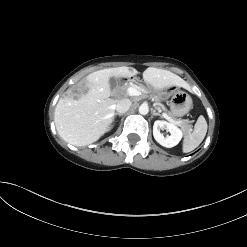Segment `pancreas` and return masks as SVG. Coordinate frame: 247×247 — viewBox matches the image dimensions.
<instances>
[{
	"label": "pancreas",
	"mask_w": 247,
	"mask_h": 247,
	"mask_svg": "<svg viewBox=\"0 0 247 247\" xmlns=\"http://www.w3.org/2000/svg\"><path fill=\"white\" fill-rule=\"evenodd\" d=\"M138 88L140 90H145V88L142 85L141 86L138 85ZM154 99L157 102V105L158 106L156 108L158 110L167 111V109L165 108L164 105L158 103L159 102V97H154ZM174 121L176 122L175 124H177L178 126H180L185 133H189V130H190L191 126L188 123H186L184 121H180V120H178V121L174 120Z\"/></svg>",
	"instance_id": "cf45deb5"
}]
</instances>
